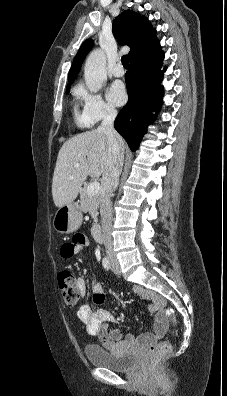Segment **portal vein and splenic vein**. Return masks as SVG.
<instances>
[{
  "instance_id": "portal-vein-and-splenic-vein-1",
  "label": "portal vein and splenic vein",
  "mask_w": 227,
  "mask_h": 396,
  "mask_svg": "<svg viewBox=\"0 0 227 396\" xmlns=\"http://www.w3.org/2000/svg\"><path fill=\"white\" fill-rule=\"evenodd\" d=\"M75 166L79 167V164L77 163ZM99 191H100V183L97 181L90 183L87 187L88 194H96Z\"/></svg>"
}]
</instances>
